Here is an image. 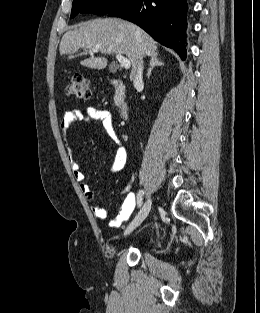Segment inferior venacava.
<instances>
[{
	"instance_id": "inferior-vena-cava-1",
	"label": "inferior vena cava",
	"mask_w": 260,
	"mask_h": 313,
	"mask_svg": "<svg viewBox=\"0 0 260 313\" xmlns=\"http://www.w3.org/2000/svg\"><path fill=\"white\" fill-rule=\"evenodd\" d=\"M133 84L135 88L143 85V61H140L138 64V68L133 79Z\"/></svg>"
}]
</instances>
